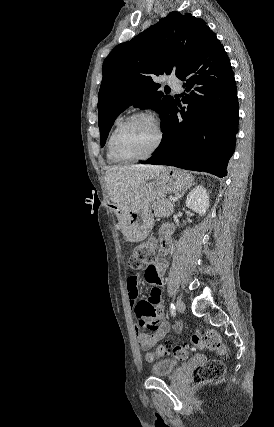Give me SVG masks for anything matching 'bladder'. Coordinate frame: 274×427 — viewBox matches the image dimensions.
<instances>
[{
	"label": "bladder",
	"instance_id": "bladder-1",
	"mask_svg": "<svg viewBox=\"0 0 274 427\" xmlns=\"http://www.w3.org/2000/svg\"><path fill=\"white\" fill-rule=\"evenodd\" d=\"M178 368V363L169 358H161L154 360L149 371L153 373V377L173 376Z\"/></svg>",
	"mask_w": 274,
	"mask_h": 427
}]
</instances>
